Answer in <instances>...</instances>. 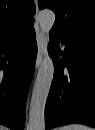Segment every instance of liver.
<instances>
[{
	"label": "liver",
	"mask_w": 95,
	"mask_h": 130,
	"mask_svg": "<svg viewBox=\"0 0 95 130\" xmlns=\"http://www.w3.org/2000/svg\"><path fill=\"white\" fill-rule=\"evenodd\" d=\"M2 129L1 130H8L6 127H1Z\"/></svg>",
	"instance_id": "obj_1"
}]
</instances>
